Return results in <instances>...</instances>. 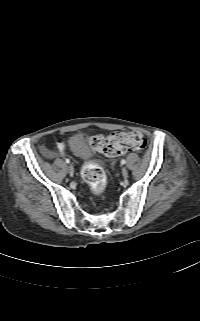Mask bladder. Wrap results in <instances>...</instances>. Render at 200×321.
Returning a JSON list of instances; mask_svg holds the SVG:
<instances>
[{"label":"bladder","instance_id":"1","mask_svg":"<svg viewBox=\"0 0 200 321\" xmlns=\"http://www.w3.org/2000/svg\"><path fill=\"white\" fill-rule=\"evenodd\" d=\"M69 148L76 157L81 159H88L93 152L91 142L80 133L70 136Z\"/></svg>","mask_w":200,"mask_h":321}]
</instances>
